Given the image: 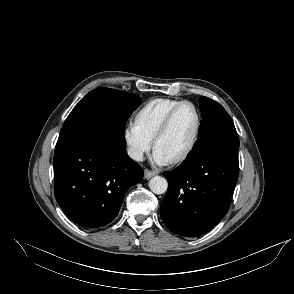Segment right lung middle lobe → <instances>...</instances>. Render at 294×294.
Here are the masks:
<instances>
[{
  "label": "right lung middle lobe",
  "mask_w": 294,
  "mask_h": 294,
  "mask_svg": "<svg viewBox=\"0 0 294 294\" xmlns=\"http://www.w3.org/2000/svg\"><path fill=\"white\" fill-rule=\"evenodd\" d=\"M140 102L139 96L118 90L98 88L89 92L67 117L56 145L101 135L124 137L125 124Z\"/></svg>",
  "instance_id": "dd1d6c3e"
}]
</instances>
